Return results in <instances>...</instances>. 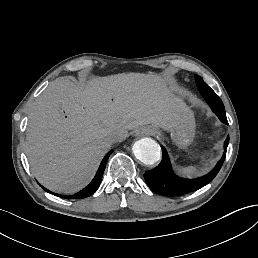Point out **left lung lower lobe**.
I'll return each instance as SVG.
<instances>
[{"instance_id": "left-lung-lower-lobe-1", "label": "left lung lower lobe", "mask_w": 258, "mask_h": 258, "mask_svg": "<svg viewBox=\"0 0 258 258\" xmlns=\"http://www.w3.org/2000/svg\"><path fill=\"white\" fill-rule=\"evenodd\" d=\"M196 83L201 95L209 104L213 112L223 123L228 124L225 108L221 99L203 80H196ZM228 143L229 137L225 140V148H227ZM162 154L163 156L160 164L156 168L145 172L144 178L146 183L150 189L157 194L164 196H179L196 191L211 182L219 172L225 160L226 150L211 172L196 179H183L176 176L172 171L170 160L165 148L162 149Z\"/></svg>"}]
</instances>
